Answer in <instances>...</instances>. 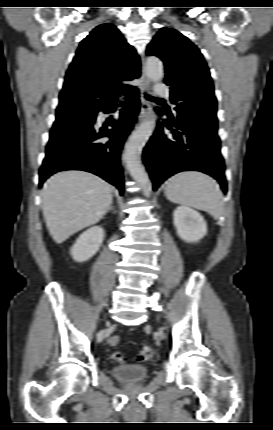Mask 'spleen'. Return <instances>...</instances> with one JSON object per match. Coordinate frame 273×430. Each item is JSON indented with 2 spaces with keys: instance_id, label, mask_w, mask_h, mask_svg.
<instances>
[{
  "instance_id": "obj_1",
  "label": "spleen",
  "mask_w": 273,
  "mask_h": 430,
  "mask_svg": "<svg viewBox=\"0 0 273 430\" xmlns=\"http://www.w3.org/2000/svg\"><path fill=\"white\" fill-rule=\"evenodd\" d=\"M165 194L173 203L203 210L215 218L223 215L222 194L216 181L198 171H182L170 177Z\"/></svg>"
}]
</instances>
